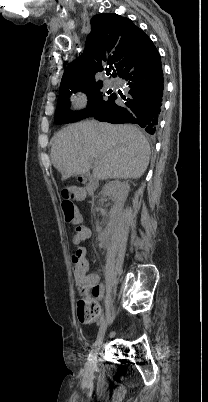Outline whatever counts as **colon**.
Listing matches in <instances>:
<instances>
[{"label": "colon", "mask_w": 208, "mask_h": 402, "mask_svg": "<svg viewBox=\"0 0 208 402\" xmlns=\"http://www.w3.org/2000/svg\"><path fill=\"white\" fill-rule=\"evenodd\" d=\"M72 193L67 189L62 191V196L64 198L70 197ZM65 220L79 227L80 216L76 207L72 204H67L64 210ZM89 236V231L87 229H78L77 231L71 232V237L73 242L80 241L82 238H87ZM78 244V243H77ZM86 254L85 248H78L76 253L71 254V259L73 263H82L84 261L83 255ZM94 289L90 282H83L79 290V295L77 298V305L82 306L81 311L78 310L79 317L83 319H88L99 314V303L97 299H92V294Z\"/></svg>", "instance_id": "colon-1"}]
</instances>
